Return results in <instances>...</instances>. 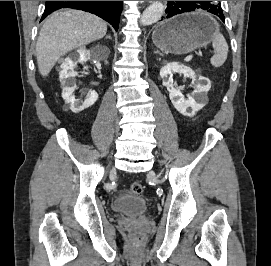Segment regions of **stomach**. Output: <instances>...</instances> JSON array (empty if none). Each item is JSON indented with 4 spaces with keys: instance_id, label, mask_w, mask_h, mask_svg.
<instances>
[{
    "instance_id": "obj_1",
    "label": "stomach",
    "mask_w": 271,
    "mask_h": 266,
    "mask_svg": "<svg viewBox=\"0 0 271 266\" xmlns=\"http://www.w3.org/2000/svg\"><path fill=\"white\" fill-rule=\"evenodd\" d=\"M218 24L205 12L194 11L165 20L154 28L153 43L171 54H186L209 44Z\"/></svg>"
}]
</instances>
